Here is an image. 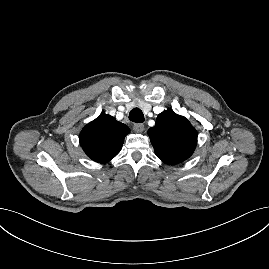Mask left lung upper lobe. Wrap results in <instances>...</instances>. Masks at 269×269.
<instances>
[{
  "label": "left lung upper lobe",
  "instance_id": "5c2ea615",
  "mask_svg": "<svg viewBox=\"0 0 269 269\" xmlns=\"http://www.w3.org/2000/svg\"><path fill=\"white\" fill-rule=\"evenodd\" d=\"M156 156L166 164H178L189 158L197 144V131L183 116L168 109L157 116L148 130Z\"/></svg>",
  "mask_w": 269,
  "mask_h": 269
}]
</instances>
